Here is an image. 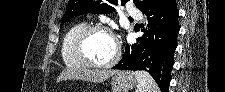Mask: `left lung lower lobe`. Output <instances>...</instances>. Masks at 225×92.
<instances>
[{
  "mask_svg": "<svg viewBox=\"0 0 225 92\" xmlns=\"http://www.w3.org/2000/svg\"><path fill=\"white\" fill-rule=\"evenodd\" d=\"M143 13L152 16L148 18V31L138 39V45H126L122 59L113 69L145 70L163 92H168L177 47L179 10L175 0H159Z\"/></svg>",
  "mask_w": 225,
  "mask_h": 92,
  "instance_id": "0a47b994",
  "label": "left lung lower lobe"
}]
</instances>
